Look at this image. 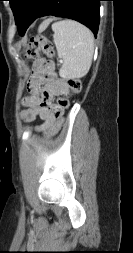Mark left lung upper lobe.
<instances>
[{
    "label": "left lung upper lobe",
    "instance_id": "1",
    "mask_svg": "<svg viewBox=\"0 0 133 253\" xmlns=\"http://www.w3.org/2000/svg\"><path fill=\"white\" fill-rule=\"evenodd\" d=\"M10 2V6L13 10V14L15 16V21L17 23L19 14L21 12V9L23 7V4L26 0H8Z\"/></svg>",
    "mask_w": 133,
    "mask_h": 253
}]
</instances>
